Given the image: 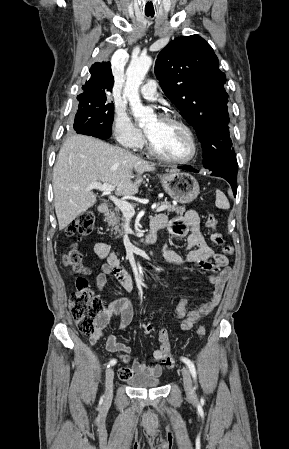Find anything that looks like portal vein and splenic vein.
Listing matches in <instances>:
<instances>
[{
  "label": "portal vein and splenic vein",
  "mask_w": 289,
  "mask_h": 449,
  "mask_svg": "<svg viewBox=\"0 0 289 449\" xmlns=\"http://www.w3.org/2000/svg\"><path fill=\"white\" fill-rule=\"evenodd\" d=\"M92 189H97L102 191L104 194L109 196V199L118 207L119 210L123 213V215L127 218H131L135 214V210L130 203L127 201H123L118 199L116 196L111 195V192L115 190V186L108 183H100L94 182L91 183L86 190L90 191ZM168 208V205L162 204L161 206L156 208V212L164 211ZM152 209H155V206H152Z\"/></svg>",
  "instance_id": "obj_1"
}]
</instances>
